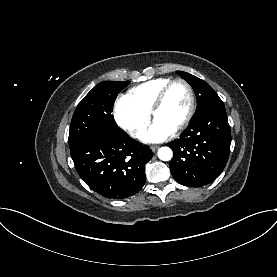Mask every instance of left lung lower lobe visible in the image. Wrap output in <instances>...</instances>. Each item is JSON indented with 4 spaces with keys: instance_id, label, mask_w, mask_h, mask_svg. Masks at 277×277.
<instances>
[{
    "instance_id": "0a47b994",
    "label": "left lung lower lobe",
    "mask_w": 277,
    "mask_h": 277,
    "mask_svg": "<svg viewBox=\"0 0 277 277\" xmlns=\"http://www.w3.org/2000/svg\"><path fill=\"white\" fill-rule=\"evenodd\" d=\"M230 126L223 102L197 114L179 139L168 143L174 156L170 170L174 179L188 187H200L215 180L229 157Z\"/></svg>"
}]
</instances>
